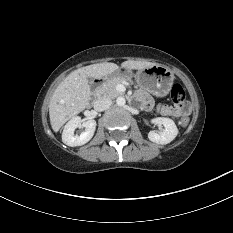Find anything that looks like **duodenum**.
<instances>
[{
	"label": "duodenum",
	"mask_w": 233,
	"mask_h": 233,
	"mask_svg": "<svg viewBox=\"0 0 233 233\" xmlns=\"http://www.w3.org/2000/svg\"><path fill=\"white\" fill-rule=\"evenodd\" d=\"M106 81L105 78L97 79L93 82V88L97 89L99 86H101Z\"/></svg>",
	"instance_id": "duodenum-1"
}]
</instances>
